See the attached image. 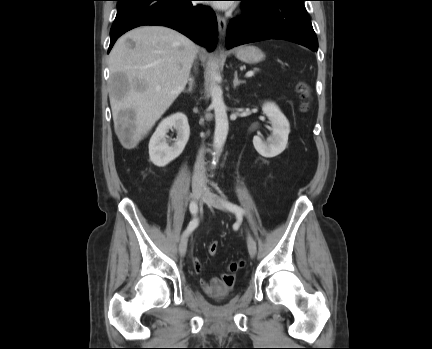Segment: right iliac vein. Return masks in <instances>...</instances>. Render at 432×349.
Masks as SVG:
<instances>
[{
  "label": "right iliac vein",
  "instance_id": "1",
  "mask_svg": "<svg viewBox=\"0 0 432 349\" xmlns=\"http://www.w3.org/2000/svg\"><path fill=\"white\" fill-rule=\"evenodd\" d=\"M202 194H203V189L200 187H195L192 189L191 197L194 201H197L202 196ZM187 242H188V237L187 234H185L179 243V253L181 256H184L186 253Z\"/></svg>",
  "mask_w": 432,
  "mask_h": 349
}]
</instances>
